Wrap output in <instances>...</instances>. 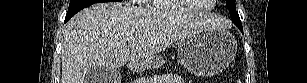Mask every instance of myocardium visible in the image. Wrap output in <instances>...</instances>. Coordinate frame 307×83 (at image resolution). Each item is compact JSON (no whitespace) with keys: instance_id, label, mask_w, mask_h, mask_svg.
Returning <instances> with one entry per match:
<instances>
[{"instance_id":"1","label":"myocardium","mask_w":307,"mask_h":83,"mask_svg":"<svg viewBox=\"0 0 307 83\" xmlns=\"http://www.w3.org/2000/svg\"><path fill=\"white\" fill-rule=\"evenodd\" d=\"M178 6L183 10V11H186V12H190V13H205V12H208L210 9L207 7V8H195V7H192V6H189L187 5L184 0H174Z\"/></svg>"}]
</instances>
